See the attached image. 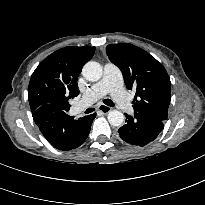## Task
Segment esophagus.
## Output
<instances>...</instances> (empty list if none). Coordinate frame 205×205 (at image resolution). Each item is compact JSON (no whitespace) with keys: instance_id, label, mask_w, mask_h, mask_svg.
Listing matches in <instances>:
<instances>
[{"instance_id":"1","label":"esophagus","mask_w":205,"mask_h":205,"mask_svg":"<svg viewBox=\"0 0 205 205\" xmlns=\"http://www.w3.org/2000/svg\"><path fill=\"white\" fill-rule=\"evenodd\" d=\"M98 110L102 113H108L111 111V108L105 104H100Z\"/></svg>"}]
</instances>
